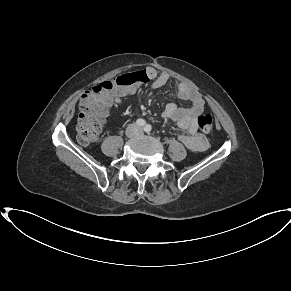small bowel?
I'll use <instances>...</instances> for the list:
<instances>
[{
  "label": "small bowel",
  "mask_w": 291,
  "mask_h": 291,
  "mask_svg": "<svg viewBox=\"0 0 291 291\" xmlns=\"http://www.w3.org/2000/svg\"><path fill=\"white\" fill-rule=\"evenodd\" d=\"M140 80L137 82L121 87L104 99L109 103L121 104L122 99L126 96L133 95L140 84L146 80H152V87H162L168 83L170 76L167 73H158L153 67H147L139 72ZM176 97L180 100H186L191 103L189 107H178L174 103H168L163 112L162 118L173 120L179 129L184 131L179 136V140L190 150L204 151L207 141L203 135L198 133L197 116L204 111L205 102L202 96L186 83L179 82L176 85Z\"/></svg>",
  "instance_id": "small-bowel-1"
}]
</instances>
